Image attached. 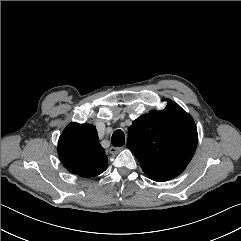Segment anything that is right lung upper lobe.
<instances>
[{
    "instance_id": "cb5924a9",
    "label": "right lung upper lobe",
    "mask_w": 241,
    "mask_h": 241,
    "mask_svg": "<svg viewBox=\"0 0 241 241\" xmlns=\"http://www.w3.org/2000/svg\"><path fill=\"white\" fill-rule=\"evenodd\" d=\"M58 155L65 168L79 176H97L108 166L105 150L91 124L70 123L59 138Z\"/></svg>"
}]
</instances>
